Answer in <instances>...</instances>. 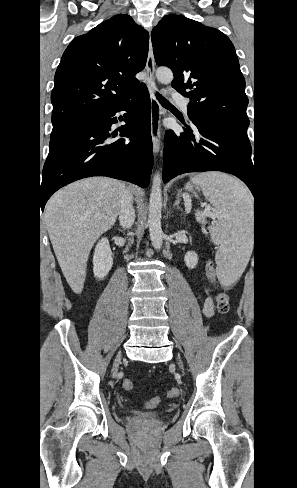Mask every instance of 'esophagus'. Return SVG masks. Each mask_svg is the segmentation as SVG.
Masks as SVG:
<instances>
[{
    "label": "esophagus",
    "instance_id": "obj_1",
    "mask_svg": "<svg viewBox=\"0 0 297 488\" xmlns=\"http://www.w3.org/2000/svg\"><path fill=\"white\" fill-rule=\"evenodd\" d=\"M148 80H149V91L151 97V137L153 143V152L158 154L161 147V131H160V123H161V105L156 98V83H155V62H154V55H153V47L151 42V37L149 39V51L147 57V65H146Z\"/></svg>",
    "mask_w": 297,
    "mask_h": 488
}]
</instances>
